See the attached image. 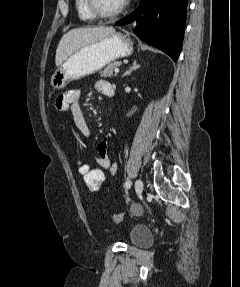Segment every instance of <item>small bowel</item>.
Here are the masks:
<instances>
[{
	"label": "small bowel",
	"mask_w": 240,
	"mask_h": 287,
	"mask_svg": "<svg viewBox=\"0 0 240 287\" xmlns=\"http://www.w3.org/2000/svg\"><path fill=\"white\" fill-rule=\"evenodd\" d=\"M95 90L105 96H112L114 93V88L111 83L104 80L96 82ZM80 98V90H68L56 98L55 107L60 112H70L72 114L74 124L79 132L84 137H89L90 131L86 124L84 113L80 105ZM110 140V137H106L99 143L97 147L98 155L96 158V163L101 169L109 170L110 174L114 176L118 171V165L116 162L112 161L111 157L108 155ZM132 209L134 212H138L140 207L132 204Z\"/></svg>",
	"instance_id": "c3829d8e"
}]
</instances>
